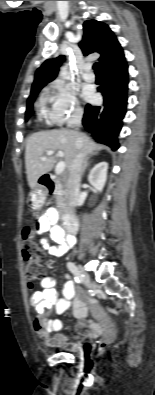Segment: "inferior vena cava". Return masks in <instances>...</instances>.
Masks as SVG:
<instances>
[{
  "instance_id": "inferior-vena-cava-1",
  "label": "inferior vena cava",
  "mask_w": 155,
  "mask_h": 395,
  "mask_svg": "<svg viewBox=\"0 0 155 395\" xmlns=\"http://www.w3.org/2000/svg\"><path fill=\"white\" fill-rule=\"evenodd\" d=\"M81 117L82 115L80 114L77 119L78 126L81 124ZM83 163L84 155L79 149L77 155L74 157L71 165L68 168L69 176L67 180V200L70 208L76 207L79 200Z\"/></svg>"
}]
</instances>
